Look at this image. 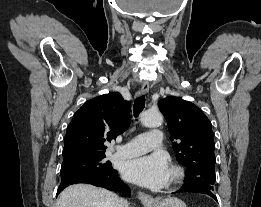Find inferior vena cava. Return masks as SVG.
<instances>
[{
    "instance_id": "602c4592",
    "label": "inferior vena cava",
    "mask_w": 261,
    "mask_h": 207,
    "mask_svg": "<svg viewBox=\"0 0 261 207\" xmlns=\"http://www.w3.org/2000/svg\"><path fill=\"white\" fill-rule=\"evenodd\" d=\"M119 207H128V202L126 200L121 199L119 203Z\"/></svg>"
}]
</instances>
